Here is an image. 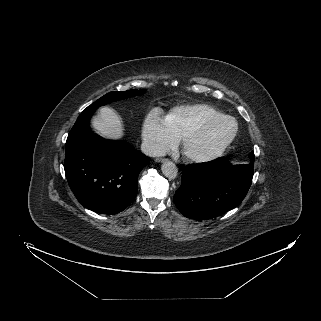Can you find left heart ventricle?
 <instances>
[{
  "label": "left heart ventricle",
  "mask_w": 321,
  "mask_h": 321,
  "mask_svg": "<svg viewBox=\"0 0 321 321\" xmlns=\"http://www.w3.org/2000/svg\"><path fill=\"white\" fill-rule=\"evenodd\" d=\"M231 121H221L209 127L204 133L189 143V149L197 153H206L213 150L232 131Z\"/></svg>",
  "instance_id": "b2bd125f"
}]
</instances>
